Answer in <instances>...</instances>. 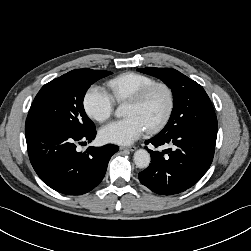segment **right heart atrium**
<instances>
[{"mask_svg":"<svg viewBox=\"0 0 251 251\" xmlns=\"http://www.w3.org/2000/svg\"><path fill=\"white\" fill-rule=\"evenodd\" d=\"M115 101L111 94L100 85L90 86L83 97L86 114L97 122H104L114 111Z\"/></svg>","mask_w":251,"mask_h":251,"instance_id":"right-heart-atrium-1","label":"right heart atrium"}]
</instances>
